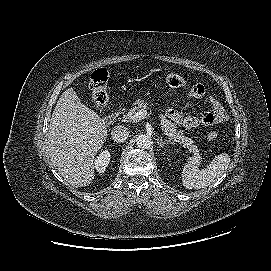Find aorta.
I'll list each match as a JSON object with an SVG mask.
<instances>
[{
	"instance_id": "obj_1",
	"label": "aorta",
	"mask_w": 271,
	"mask_h": 271,
	"mask_svg": "<svg viewBox=\"0 0 271 271\" xmlns=\"http://www.w3.org/2000/svg\"><path fill=\"white\" fill-rule=\"evenodd\" d=\"M152 144L151 138L146 134H141L136 138V145L140 149H148Z\"/></svg>"
}]
</instances>
